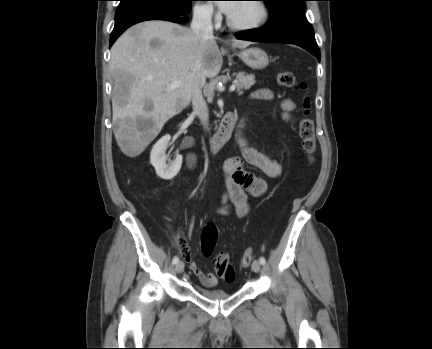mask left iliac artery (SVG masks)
<instances>
[{"instance_id": "1", "label": "left iliac artery", "mask_w": 432, "mask_h": 349, "mask_svg": "<svg viewBox=\"0 0 432 349\" xmlns=\"http://www.w3.org/2000/svg\"><path fill=\"white\" fill-rule=\"evenodd\" d=\"M259 262H260L262 265H264V264L266 263V260H265V258H264L263 256H261V257L259 258Z\"/></svg>"}]
</instances>
